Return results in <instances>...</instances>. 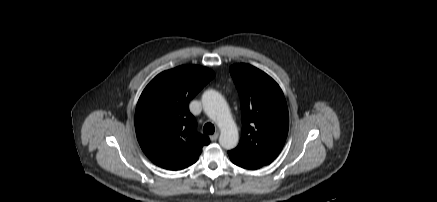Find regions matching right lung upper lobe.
<instances>
[{
    "label": "right lung upper lobe",
    "mask_w": 437,
    "mask_h": 202,
    "mask_svg": "<svg viewBox=\"0 0 437 202\" xmlns=\"http://www.w3.org/2000/svg\"><path fill=\"white\" fill-rule=\"evenodd\" d=\"M215 76L208 68L184 65L158 74L142 92L135 111V130L146 156L168 170L197 161L209 137L196 131L189 102Z\"/></svg>",
    "instance_id": "obj_1"
}]
</instances>
